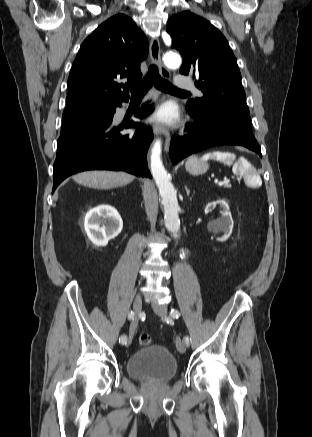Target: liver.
Wrapping results in <instances>:
<instances>
[{
  "instance_id": "liver-1",
  "label": "liver",
  "mask_w": 312,
  "mask_h": 437,
  "mask_svg": "<svg viewBox=\"0 0 312 437\" xmlns=\"http://www.w3.org/2000/svg\"><path fill=\"white\" fill-rule=\"evenodd\" d=\"M78 184L94 189H110L125 186L132 182L134 176L126 172L87 171L73 176Z\"/></svg>"
}]
</instances>
